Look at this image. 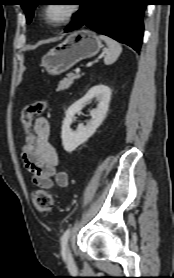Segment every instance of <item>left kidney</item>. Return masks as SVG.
Returning a JSON list of instances; mask_svg holds the SVG:
<instances>
[{
    "label": "left kidney",
    "instance_id": "1",
    "mask_svg": "<svg viewBox=\"0 0 174 278\" xmlns=\"http://www.w3.org/2000/svg\"><path fill=\"white\" fill-rule=\"evenodd\" d=\"M111 97V90L105 85H96L92 87L84 97L73 103L66 111V116L62 124V144L67 152L74 151L78 146L86 142L102 124L108 111ZM93 98L98 101L97 108L90 112L91 120L84 126L80 124L76 132L70 128L76 113Z\"/></svg>",
    "mask_w": 174,
    "mask_h": 278
}]
</instances>
